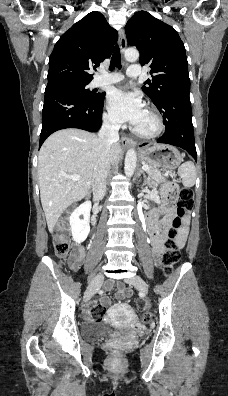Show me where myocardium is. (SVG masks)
Listing matches in <instances>:
<instances>
[{
  "instance_id": "f54148a6",
  "label": "myocardium",
  "mask_w": 228,
  "mask_h": 396,
  "mask_svg": "<svg viewBox=\"0 0 228 396\" xmlns=\"http://www.w3.org/2000/svg\"><path fill=\"white\" fill-rule=\"evenodd\" d=\"M146 111L154 118L156 123V128L149 133L141 132L136 127H133L132 131L137 137L141 139H146V140L155 139L163 133L165 128L164 121L161 115L159 114V112L155 108L147 107Z\"/></svg>"
}]
</instances>
